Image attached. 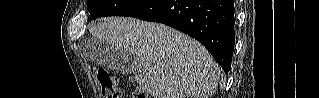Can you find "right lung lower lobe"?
<instances>
[{
	"instance_id": "98d812e1",
	"label": "right lung lower lobe",
	"mask_w": 319,
	"mask_h": 98,
	"mask_svg": "<svg viewBox=\"0 0 319 98\" xmlns=\"http://www.w3.org/2000/svg\"><path fill=\"white\" fill-rule=\"evenodd\" d=\"M233 0H146L120 16L171 26L200 41L227 74L235 43Z\"/></svg>"
}]
</instances>
